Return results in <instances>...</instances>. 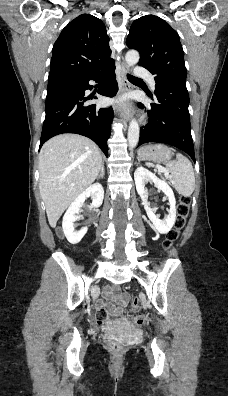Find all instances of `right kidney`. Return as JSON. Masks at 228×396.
<instances>
[{
	"label": "right kidney",
	"mask_w": 228,
	"mask_h": 396,
	"mask_svg": "<svg viewBox=\"0 0 228 396\" xmlns=\"http://www.w3.org/2000/svg\"><path fill=\"white\" fill-rule=\"evenodd\" d=\"M92 198V204L89 206L90 209H95L101 206L104 198V189L101 184L96 183L85 189L69 206L66 211L62 227L63 232L67 240L71 244H77L81 241L84 235L87 233V228H82L79 231L74 229V222L78 219L80 208L87 198Z\"/></svg>",
	"instance_id": "obj_1"
}]
</instances>
